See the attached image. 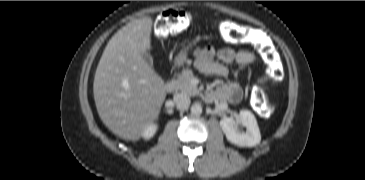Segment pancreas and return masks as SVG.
Masks as SVG:
<instances>
[{
    "label": "pancreas",
    "instance_id": "1",
    "mask_svg": "<svg viewBox=\"0 0 365 180\" xmlns=\"http://www.w3.org/2000/svg\"><path fill=\"white\" fill-rule=\"evenodd\" d=\"M192 78H193V72L189 69L184 70L182 72V75L179 76L178 79L174 81L176 90L189 96L198 95L199 91L197 87L192 85L191 83Z\"/></svg>",
    "mask_w": 365,
    "mask_h": 180
}]
</instances>
